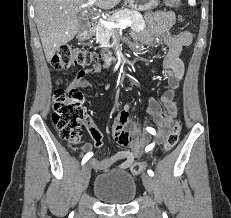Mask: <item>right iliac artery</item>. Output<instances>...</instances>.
I'll use <instances>...</instances> for the list:
<instances>
[{
	"mask_svg": "<svg viewBox=\"0 0 231 218\" xmlns=\"http://www.w3.org/2000/svg\"><path fill=\"white\" fill-rule=\"evenodd\" d=\"M92 155H93L92 152L87 153L82 159V164H84L87 160H89L92 157Z\"/></svg>",
	"mask_w": 231,
	"mask_h": 218,
	"instance_id": "1",
	"label": "right iliac artery"
}]
</instances>
